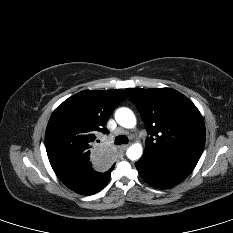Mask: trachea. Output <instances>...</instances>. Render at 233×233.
Returning <instances> with one entry per match:
<instances>
[{
	"instance_id": "obj_1",
	"label": "trachea",
	"mask_w": 233,
	"mask_h": 233,
	"mask_svg": "<svg viewBox=\"0 0 233 233\" xmlns=\"http://www.w3.org/2000/svg\"><path fill=\"white\" fill-rule=\"evenodd\" d=\"M127 143H128V137L125 135H120L115 138L116 145L127 144Z\"/></svg>"
}]
</instances>
